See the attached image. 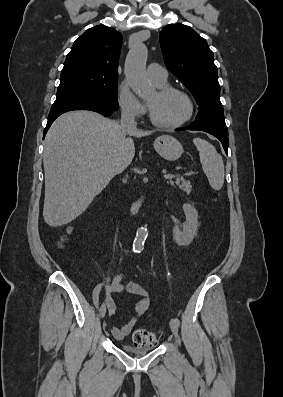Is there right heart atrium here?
<instances>
[{
    "instance_id": "right-heart-atrium-1",
    "label": "right heart atrium",
    "mask_w": 283,
    "mask_h": 397,
    "mask_svg": "<svg viewBox=\"0 0 283 397\" xmlns=\"http://www.w3.org/2000/svg\"><path fill=\"white\" fill-rule=\"evenodd\" d=\"M117 102L122 114L128 118H140L146 113L145 105L132 92L126 82H121L118 86Z\"/></svg>"
}]
</instances>
